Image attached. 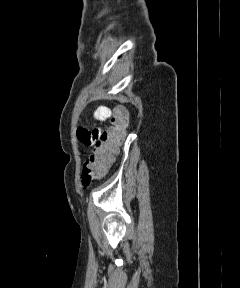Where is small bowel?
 Wrapping results in <instances>:
<instances>
[{"label": "small bowel", "instance_id": "obj_1", "mask_svg": "<svg viewBox=\"0 0 240 288\" xmlns=\"http://www.w3.org/2000/svg\"><path fill=\"white\" fill-rule=\"evenodd\" d=\"M112 111L106 106H99L93 112V118L97 123H105L111 118ZM108 129L106 126L103 128H93L88 129L85 127H80L77 130L78 140L85 146H92L96 144L101 136V133Z\"/></svg>", "mask_w": 240, "mask_h": 288}]
</instances>
